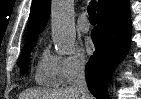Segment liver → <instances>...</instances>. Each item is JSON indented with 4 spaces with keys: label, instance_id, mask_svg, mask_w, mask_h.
Returning a JSON list of instances; mask_svg holds the SVG:
<instances>
[{
    "label": "liver",
    "instance_id": "1",
    "mask_svg": "<svg viewBox=\"0 0 141 99\" xmlns=\"http://www.w3.org/2000/svg\"><path fill=\"white\" fill-rule=\"evenodd\" d=\"M19 99H82V98L81 94L77 90L69 86L53 90L28 89L20 94Z\"/></svg>",
    "mask_w": 141,
    "mask_h": 99
}]
</instances>
